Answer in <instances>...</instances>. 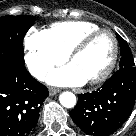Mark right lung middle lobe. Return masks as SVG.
Wrapping results in <instances>:
<instances>
[{
  "label": "right lung middle lobe",
  "instance_id": "1",
  "mask_svg": "<svg viewBox=\"0 0 136 136\" xmlns=\"http://www.w3.org/2000/svg\"><path fill=\"white\" fill-rule=\"evenodd\" d=\"M34 21L27 15L0 18V66H24L23 37Z\"/></svg>",
  "mask_w": 136,
  "mask_h": 136
}]
</instances>
